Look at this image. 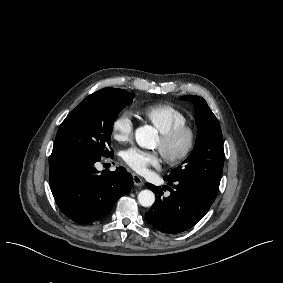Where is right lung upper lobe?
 Listing matches in <instances>:
<instances>
[{
    "instance_id": "1",
    "label": "right lung upper lobe",
    "mask_w": 283,
    "mask_h": 283,
    "mask_svg": "<svg viewBox=\"0 0 283 283\" xmlns=\"http://www.w3.org/2000/svg\"><path fill=\"white\" fill-rule=\"evenodd\" d=\"M107 89H110V88L101 89V90H99V91H97V92H95V93H93V94L100 93V92L105 91V90H107ZM93 94H92V95H93ZM54 161H56V160H53V159L50 160V162H54Z\"/></svg>"
}]
</instances>
